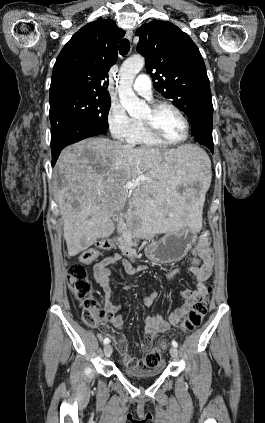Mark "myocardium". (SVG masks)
<instances>
[{"label":"myocardium","mask_w":265,"mask_h":423,"mask_svg":"<svg viewBox=\"0 0 265 423\" xmlns=\"http://www.w3.org/2000/svg\"><path fill=\"white\" fill-rule=\"evenodd\" d=\"M163 108H169V109L173 110L182 119L184 126H185L184 137L180 140H177V141L167 139L165 136H163L159 132V130L157 129V127H156V125H155V123L152 119L140 121L142 123L144 129L146 130V132L149 135H151L153 138H155L158 141L164 143L165 145H179V144L186 142L189 138V135H190V122H189L187 116L185 115V113L179 107H177L176 105L169 103V102H155V103H152V104L149 105V110L151 111L152 114L157 113L159 110H161Z\"/></svg>","instance_id":"myocardium-1"}]
</instances>
